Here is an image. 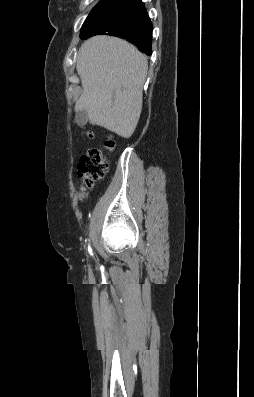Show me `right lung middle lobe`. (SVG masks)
Segmentation results:
<instances>
[{
    "label": "right lung middle lobe",
    "instance_id": "obj_1",
    "mask_svg": "<svg viewBox=\"0 0 254 397\" xmlns=\"http://www.w3.org/2000/svg\"><path fill=\"white\" fill-rule=\"evenodd\" d=\"M106 0H102V1H100L93 9H92V11L90 12V14L88 15V17L86 18V20H85V22H84V24H83V26L99 11V9L101 8V6L104 4V2H105ZM82 26V27H83Z\"/></svg>",
    "mask_w": 254,
    "mask_h": 397
}]
</instances>
